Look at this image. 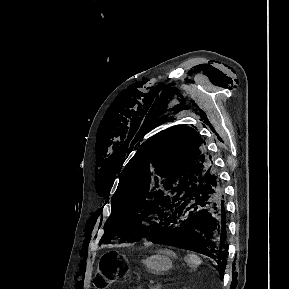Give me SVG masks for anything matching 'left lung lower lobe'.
Masks as SVG:
<instances>
[{"instance_id":"obj_1","label":"left lung lower lobe","mask_w":289,"mask_h":289,"mask_svg":"<svg viewBox=\"0 0 289 289\" xmlns=\"http://www.w3.org/2000/svg\"><path fill=\"white\" fill-rule=\"evenodd\" d=\"M226 236L224 191L211 164L202 177L172 199L168 217L146 237L172 246V240H180L179 247L213 258L222 277L228 249Z\"/></svg>"}]
</instances>
